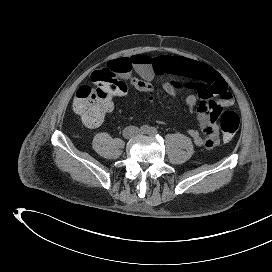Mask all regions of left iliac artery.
Wrapping results in <instances>:
<instances>
[{"label":"left iliac artery","mask_w":272,"mask_h":272,"mask_svg":"<svg viewBox=\"0 0 272 272\" xmlns=\"http://www.w3.org/2000/svg\"><path fill=\"white\" fill-rule=\"evenodd\" d=\"M157 132H158V131H157V129H156V128L151 127V128H150V131H149V134L153 136V135H156V134H157Z\"/></svg>","instance_id":"1"}]
</instances>
